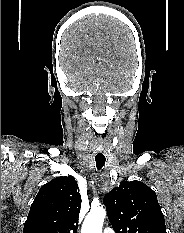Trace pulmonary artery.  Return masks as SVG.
Instances as JSON below:
<instances>
[{"mask_svg":"<svg viewBox=\"0 0 184 233\" xmlns=\"http://www.w3.org/2000/svg\"><path fill=\"white\" fill-rule=\"evenodd\" d=\"M103 233H115V231L113 229H111V228H105L103 230Z\"/></svg>","mask_w":184,"mask_h":233,"instance_id":"1","label":"pulmonary artery"}]
</instances>
